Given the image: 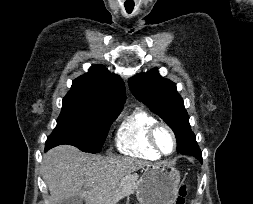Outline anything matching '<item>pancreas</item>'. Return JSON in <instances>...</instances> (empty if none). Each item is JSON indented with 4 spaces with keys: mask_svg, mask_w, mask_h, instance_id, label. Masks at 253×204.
I'll return each instance as SVG.
<instances>
[{
    "mask_svg": "<svg viewBox=\"0 0 253 204\" xmlns=\"http://www.w3.org/2000/svg\"><path fill=\"white\" fill-rule=\"evenodd\" d=\"M136 180L135 176H126L118 183L117 191L118 195L125 197L135 193L136 190Z\"/></svg>",
    "mask_w": 253,
    "mask_h": 204,
    "instance_id": "cf45deb5",
    "label": "pancreas"
}]
</instances>
